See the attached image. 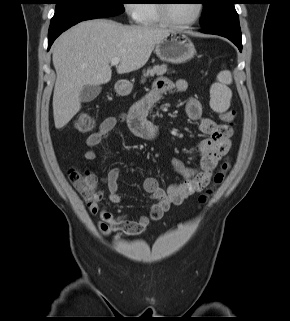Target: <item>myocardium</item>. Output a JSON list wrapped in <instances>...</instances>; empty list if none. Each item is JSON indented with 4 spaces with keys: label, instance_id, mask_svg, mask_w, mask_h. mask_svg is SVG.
Segmentation results:
<instances>
[{
    "label": "myocardium",
    "instance_id": "1",
    "mask_svg": "<svg viewBox=\"0 0 290 321\" xmlns=\"http://www.w3.org/2000/svg\"><path fill=\"white\" fill-rule=\"evenodd\" d=\"M156 7H157V11L159 16L161 17L163 23H165L168 26L171 27H176V28H185V27H189L194 25L201 17L202 12H203V4L201 3V1H197V10H196V14L195 16L189 20V21H185V22H177L175 20H173L168 13V9H169V1L171 0H156Z\"/></svg>",
    "mask_w": 290,
    "mask_h": 321
}]
</instances>
